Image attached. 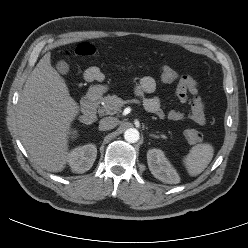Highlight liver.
<instances>
[{"instance_id": "6515ba94", "label": "liver", "mask_w": 248, "mask_h": 248, "mask_svg": "<svg viewBox=\"0 0 248 248\" xmlns=\"http://www.w3.org/2000/svg\"><path fill=\"white\" fill-rule=\"evenodd\" d=\"M79 106L46 53L28 76L17 109L20 139L34 162L61 172L68 160V134Z\"/></svg>"}]
</instances>
